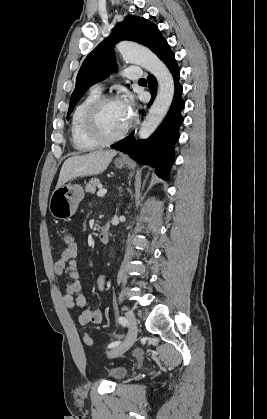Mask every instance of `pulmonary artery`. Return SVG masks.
I'll return each mask as SVG.
<instances>
[{"mask_svg": "<svg viewBox=\"0 0 267 419\" xmlns=\"http://www.w3.org/2000/svg\"><path fill=\"white\" fill-rule=\"evenodd\" d=\"M124 75L131 80H139L142 78V71L138 67H127L124 71ZM94 90L100 92L102 90V86L97 84L94 86Z\"/></svg>", "mask_w": 267, "mask_h": 419, "instance_id": "1", "label": "pulmonary artery"}]
</instances>
